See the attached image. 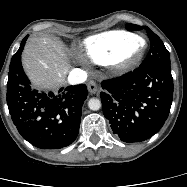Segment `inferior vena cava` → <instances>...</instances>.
<instances>
[{
    "label": "inferior vena cava",
    "instance_id": "1",
    "mask_svg": "<svg viewBox=\"0 0 187 187\" xmlns=\"http://www.w3.org/2000/svg\"><path fill=\"white\" fill-rule=\"evenodd\" d=\"M87 79V73L79 68L71 70L68 76V82L71 85H76L85 82Z\"/></svg>",
    "mask_w": 187,
    "mask_h": 187
}]
</instances>
